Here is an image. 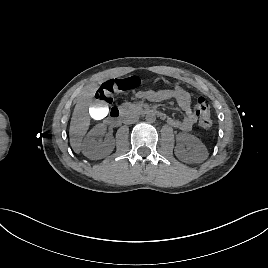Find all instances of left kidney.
Returning <instances> with one entry per match:
<instances>
[{
	"label": "left kidney",
	"instance_id": "5707ae66",
	"mask_svg": "<svg viewBox=\"0 0 268 268\" xmlns=\"http://www.w3.org/2000/svg\"><path fill=\"white\" fill-rule=\"evenodd\" d=\"M174 151L176 157L186 163H201L208 156L207 148L201 140L188 133L177 135V145Z\"/></svg>",
	"mask_w": 268,
	"mask_h": 268
}]
</instances>
